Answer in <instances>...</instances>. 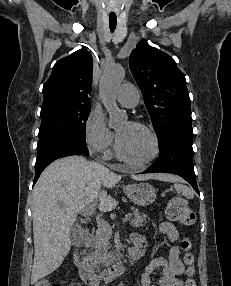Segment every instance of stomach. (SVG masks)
<instances>
[{"label": "stomach", "mask_w": 231, "mask_h": 286, "mask_svg": "<svg viewBox=\"0 0 231 286\" xmlns=\"http://www.w3.org/2000/svg\"><path fill=\"white\" fill-rule=\"evenodd\" d=\"M123 190L127 197L138 206L152 204L157 196L155 188L147 182L126 185Z\"/></svg>", "instance_id": "obj_1"}]
</instances>
